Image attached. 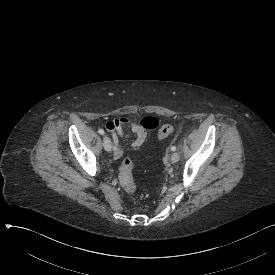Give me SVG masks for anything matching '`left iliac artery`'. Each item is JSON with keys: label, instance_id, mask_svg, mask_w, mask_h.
<instances>
[{"label": "left iliac artery", "instance_id": "44dca946", "mask_svg": "<svg viewBox=\"0 0 275 275\" xmlns=\"http://www.w3.org/2000/svg\"><path fill=\"white\" fill-rule=\"evenodd\" d=\"M171 150L175 151L176 150V146H171Z\"/></svg>", "mask_w": 275, "mask_h": 275}]
</instances>
